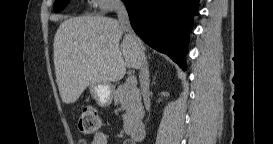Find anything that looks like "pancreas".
I'll return each instance as SVG.
<instances>
[{"label":"pancreas","instance_id":"1","mask_svg":"<svg viewBox=\"0 0 273 144\" xmlns=\"http://www.w3.org/2000/svg\"><path fill=\"white\" fill-rule=\"evenodd\" d=\"M113 98L115 103H120L126 112L123 115L124 128H131L143 116V107L139 89L130 87L126 83L114 90Z\"/></svg>","mask_w":273,"mask_h":144}]
</instances>
